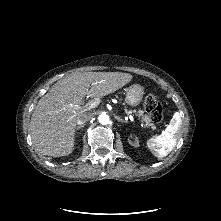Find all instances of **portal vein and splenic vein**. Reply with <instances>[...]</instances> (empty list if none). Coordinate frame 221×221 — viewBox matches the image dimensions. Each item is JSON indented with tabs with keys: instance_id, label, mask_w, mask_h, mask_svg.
I'll return each instance as SVG.
<instances>
[{
	"instance_id": "portal-vein-and-splenic-vein-1",
	"label": "portal vein and splenic vein",
	"mask_w": 221,
	"mask_h": 221,
	"mask_svg": "<svg viewBox=\"0 0 221 221\" xmlns=\"http://www.w3.org/2000/svg\"><path fill=\"white\" fill-rule=\"evenodd\" d=\"M100 104V101L98 99H95L93 101H91L90 103H87L83 108L82 107H79V106H73L71 105V107L74 109V110H80V109H84V110H91L95 107H97L98 105ZM129 119L131 121H134V118L132 115H129Z\"/></svg>"
}]
</instances>
